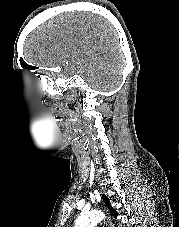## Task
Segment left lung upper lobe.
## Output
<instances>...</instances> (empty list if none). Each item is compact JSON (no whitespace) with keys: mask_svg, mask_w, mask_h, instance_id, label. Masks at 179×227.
Segmentation results:
<instances>
[{"mask_svg":"<svg viewBox=\"0 0 179 227\" xmlns=\"http://www.w3.org/2000/svg\"><path fill=\"white\" fill-rule=\"evenodd\" d=\"M103 199H104L105 204H106L107 207L109 208V210H110L115 216H117L118 213L116 212V210H114V209L112 208V206H111V204H110V202H109V199H108L105 195H103Z\"/></svg>","mask_w":179,"mask_h":227,"instance_id":"left-lung-upper-lobe-1","label":"left lung upper lobe"}]
</instances>
